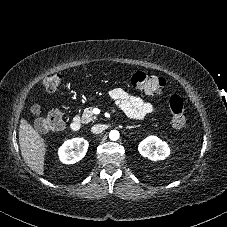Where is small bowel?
Masks as SVG:
<instances>
[{
	"label": "small bowel",
	"instance_id": "small-bowel-1",
	"mask_svg": "<svg viewBox=\"0 0 227 227\" xmlns=\"http://www.w3.org/2000/svg\"><path fill=\"white\" fill-rule=\"evenodd\" d=\"M109 96L130 118L141 120L155 110V105L138 96H133L120 88L109 91Z\"/></svg>",
	"mask_w": 227,
	"mask_h": 227
}]
</instances>
